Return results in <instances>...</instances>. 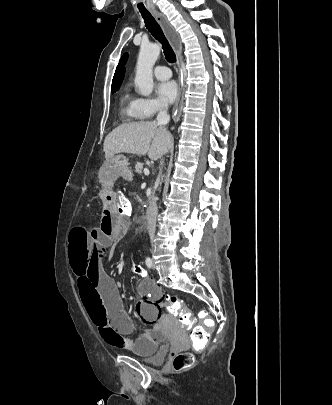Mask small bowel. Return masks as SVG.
Wrapping results in <instances>:
<instances>
[{
  "label": "small bowel",
  "instance_id": "small-bowel-1",
  "mask_svg": "<svg viewBox=\"0 0 332 405\" xmlns=\"http://www.w3.org/2000/svg\"><path fill=\"white\" fill-rule=\"evenodd\" d=\"M115 166L114 159H107L100 166L99 176L104 183L100 226L77 225L71 229L69 264L76 277V295L84 305V315H88L92 326L97 327L103 341L117 348L151 353L152 349H157V344L167 342L159 325L165 290L147 277L138 285L140 299L135 304V313L144 321L153 323V327L135 340L129 339L126 335L134 330V322L124 309L115 281L103 269L102 252L118 243L129 231L128 221L119 220L115 213L118 199L111 184L117 181Z\"/></svg>",
  "mask_w": 332,
  "mask_h": 405
}]
</instances>
